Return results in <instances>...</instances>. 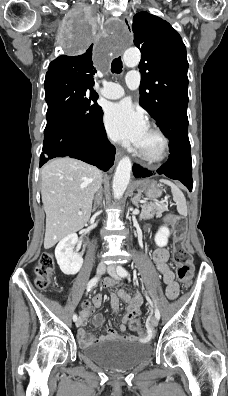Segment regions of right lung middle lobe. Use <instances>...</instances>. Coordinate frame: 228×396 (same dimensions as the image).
Listing matches in <instances>:
<instances>
[{
  "label": "right lung middle lobe",
  "mask_w": 228,
  "mask_h": 396,
  "mask_svg": "<svg viewBox=\"0 0 228 396\" xmlns=\"http://www.w3.org/2000/svg\"><path fill=\"white\" fill-rule=\"evenodd\" d=\"M92 27L81 26L72 40L75 50H83L93 39ZM45 100L48 104L47 125L58 121L93 123L102 108L97 104V93L92 85L74 78L45 79Z\"/></svg>",
  "instance_id": "obj_1"
}]
</instances>
